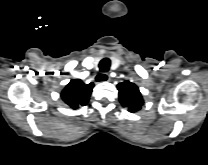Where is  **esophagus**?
Segmentation results:
<instances>
[{
    "label": "esophagus",
    "mask_w": 208,
    "mask_h": 165,
    "mask_svg": "<svg viewBox=\"0 0 208 165\" xmlns=\"http://www.w3.org/2000/svg\"><path fill=\"white\" fill-rule=\"evenodd\" d=\"M99 80H105V81H109L110 80V75L108 73H103L98 77Z\"/></svg>",
    "instance_id": "obj_1"
}]
</instances>
